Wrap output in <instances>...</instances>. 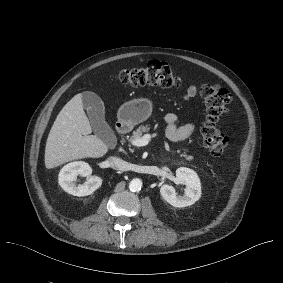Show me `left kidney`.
Segmentation results:
<instances>
[{
	"label": "left kidney",
	"instance_id": "left-kidney-1",
	"mask_svg": "<svg viewBox=\"0 0 283 283\" xmlns=\"http://www.w3.org/2000/svg\"><path fill=\"white\" fill-rule=\"evenodd\" d=\"M178 183L186 185L185 193L180 196L173 186L164 184L160 188L161 196L170 205L181 208L194 204L201 197V183L197 173L189 168L180 167L176 170Z\"/></svg>",
	"mask_w": 283,
	"mask_h": 283
}]
</instances>
